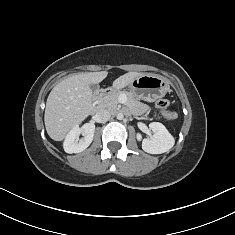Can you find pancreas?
<instances>
[{"instance_id":"cf45deb5","label":"pancreas","mask_w":235,"mask_h":235,"mask_svg":"<svg viewBox=\"0 0 235 235\" xmlns=\"http://www.w3.org/2000/svg\"><path fill=\"white\" fill-rule=\"evenodd\" d=\"M120 96L126 97L127 105L130 107L131 111L135 114L139 113L144 109H147V106H145L144 104L140 103L137 99H135L131 92H123V91L110 92L109 94L99 99V104L102 107L108 108L110 110H115L118 106Z\"/></svg>"}]
</instances>
